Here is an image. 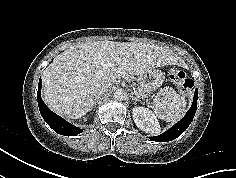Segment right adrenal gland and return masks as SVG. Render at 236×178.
<instances>
[{
  "label": "right adrenal gland",
  "instance_id": "2a0ac1e0",
  "mask_svg": "<svg viewBox=\"0 0 236 178\" xmlns=\"http://www.w3.org/2000/svg\"><path fill=\"white\" fill-rule=\"evenodd\" d=\"M99 98H100V97L98 96V97H96V98L94 99L93 104H92V108H96V103H97V101H98Z\"/></svg>",
  "mask_w": 236,
  "mask_h": 178
}]
</instances>
